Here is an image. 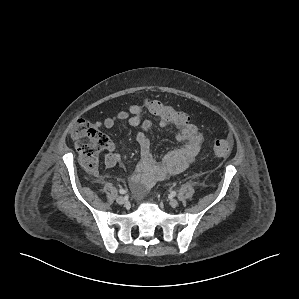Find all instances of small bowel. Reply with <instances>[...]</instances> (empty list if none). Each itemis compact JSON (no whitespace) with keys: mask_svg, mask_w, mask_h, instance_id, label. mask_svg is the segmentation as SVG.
<instances>
[{"mask_svg":"<svg viewBox=\"0 0 299 299\" xmlns=\"http://www.w3.org/2000/svg\"><path fill=\"white\" fill-rule=\"evenodd\" d=\"M145 113L149 112L144 103L132 104L126 110L97 122L98 127L106 129L115 127L119 122H126L131 128L141 129L135 133L140 147V158L129 179L130 186L138 197L145 195L158 181L186 170L195 161L203 142V135L195 124L189 122L185 125H171L155 117L159 127L175 129L176 139L182 143L180 147L167 152L159 161L151 151L149 133L153 122L143 117ZM104 161L109 168L118 163L119 154L115 143L107 144Z\"/></svg>","mask_w":299,"mask_h":299,"instance_id":"1","label":"small bowel"}]
</instances>
